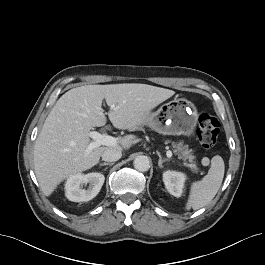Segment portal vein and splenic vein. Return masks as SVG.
<instances>
[{"label":"portal vein and splenic vein","instance_id":"portal-vein-and-splenic-vein-1","mask_svg":"<svg viewBox=\"0 0 265 265\" xmlns=\"http://www.w3.org/2000/svg\"><path fill=\"white\" fill-rule=\"evenodd\" d=\"M115 106L112 105L111 108H114ZM90 138L93 139V142H91L87 149H86V154H89L93 149L105 145V146H116L117 145V139L115 137H112L108 134H101L97 131H90L89 132ZM166 155L168 158L172 157V152L168 150L166 152Z\"/></svg>","mask_w":265,"mask_h":265}]
</instances>
